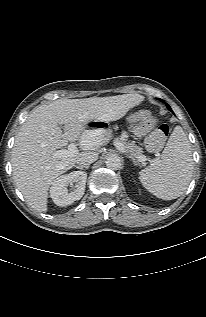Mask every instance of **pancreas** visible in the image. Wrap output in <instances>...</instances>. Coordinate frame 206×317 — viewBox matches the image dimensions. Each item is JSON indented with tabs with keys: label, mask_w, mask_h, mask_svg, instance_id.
<instances>
[{
	"label": "pancreas",
	"mask_w": 206,
	"mask_h": 317,
	"mask_svg": "<svg viewBox=\"0 0 206 317\" xmlns=\"http://www.w3.org/2000/svg\"><path fill=\"white\" fill-rule=\"evenodd\" d=\"M119 138H120V142L123 144V147L126 153L130 154L133 157H139L142 155V148L135 145L134 142L127 141L128 137L126 134L124 133L121 134Z\"/></svg>",
	"instance_id": "1"
}]
</instances>
